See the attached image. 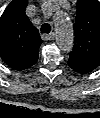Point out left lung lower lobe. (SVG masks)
I'll list each match as a JSON object with an SVG mask.
<instances>
[{
  "instance_id": "left-lung-lower-lobe-1",
  "label": "left lung lower lobe",
  "mask_w": 100,
  "mask_h": 118,
  "mask_svg": "<svg viewBox=\"0 0 100 118\" xmlns=\"http://www.w3.org/2000/svg\"><path fill=\"white\" fill-rule=\"evenodd\" d=\"M74 71H76V72H78V73H80V74H86L85 72H83L82 70H79V69H77V68H73V67H71Z\"/></svg>"
}]
</instances>
